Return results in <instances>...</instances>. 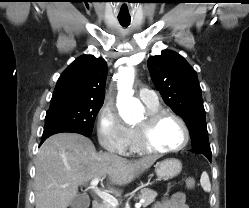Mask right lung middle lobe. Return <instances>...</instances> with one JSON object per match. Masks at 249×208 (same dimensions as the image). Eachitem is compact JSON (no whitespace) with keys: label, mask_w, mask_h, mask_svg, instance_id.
Returning <instances> with one entry per match:
<instances>
[{"label":"right lung middle lobe","mask_w":249,"mask_h":208,"mask_svg":"<svg viewBox=\"0 0 249 208\" xmlns=\"http://www.w3.org/2000/svg\"><path fill=\"white\" fill-rule=\"evenodd\" d=\"M103 102H68L51 106L46 113L45 128H61L90 136L95 117Z\"/></svg>","instance_id":"right-lung-middle-lobe-1"}]
</instances>
